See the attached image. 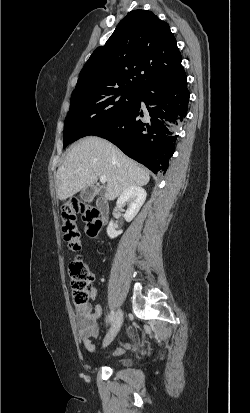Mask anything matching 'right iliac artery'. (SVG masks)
I'll use <instances>...</instances> for the list:
<instances>
[{
	"mask_svg": "<svg viewBox=\"0 0 250 413\" xmlns=\"http://www.w3.org/2000/svg\"><path fill=\"white\" fill-rule=\"evenodd\" d=\"M114 315H115L114 311L111 310V312H110L109 315H108V319H109V322H110V323H112V321H113V319H114Z\"/></svg>",
	"mask_w": 250,
	"mask_h": 413,
	"instance_id": "1",
	"label": "right iliac artery"
}]
</instances>
